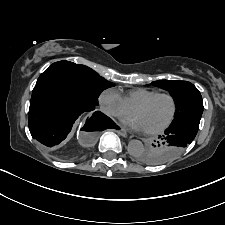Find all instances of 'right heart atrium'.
<instances>
[{
  "mask_svg": "<svg viewBox=\"0 0 225 225\" xmlns=\"http://www.w3.org/2000/svg\"><path fill=\"white\" fill-rule=\"evenodd\" d=\"M102 111L111 117H119L129 113V107L122 96L114 89H106L99 95Z\"/></svg>",
  "mask_w": 225,
  "mask_h": 225,
  "instance_id": "d8ad5b80",
  "label": "right heart atrium"
}]
</instances>
